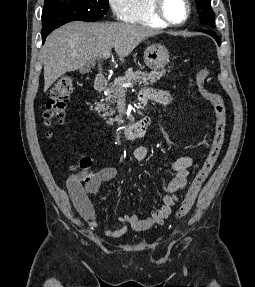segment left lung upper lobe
<instances>
[{
    "label": "left lung upper lobe",
    "mask_w": 255,
    "mask_h": 287,
    "mask_svg": "<svg viewBox=\"0 0 255 287\" xmlns=\"http://www.w3.org/2000/svg\"><path fill=\"white\" fill-rule=\"evenodd\" d=\"M197 4V10L199 14V19L204 24L210 27L214 26V13L211 9V0H195Z\"/></svg>",
    "instance_id": "1"
}]
</instances>
